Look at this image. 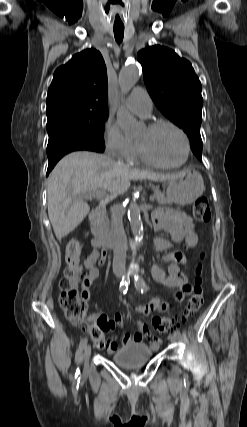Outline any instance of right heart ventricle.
Masks as SVG:
<instances>
[{"label":"right heart ventricle","mask_w":247,"mask_h":427,"mask_svg":"<svg viewBox=\"0 0 247 427\" xmlns=\"http://www.w3.org/2000/svg\"><path fill=\"white\" fill-rule=\"evenodd\" d=\"M131 160H133V161H144L141 154H140L138 146L135 143H134V151H133V155L131 157Z\"/></svg>","instance_id":"e07e8e85"}]
</instances>
